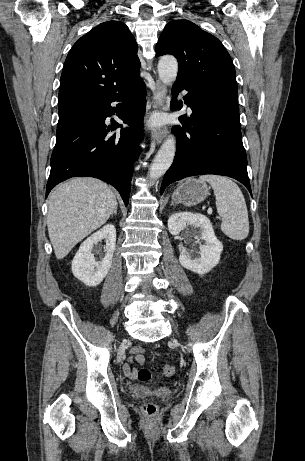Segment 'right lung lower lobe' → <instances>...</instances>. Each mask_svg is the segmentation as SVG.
I'll use <instances>...</instances> for the list:
<instances>
[{
  "label": "right lung lower lobe",
  "instance_id": "98d812e1",
  "mask_svg": "<svg viewBox=\"0 0 305 461\" xmlns=\"http://www.w3.org/2000/svg\"><path fill=\"white\" fill-rule=\"evenodd\" d=\"M145 94L142 81L111 97L58 107L56 145L46 197L53 187L68 178L89 176L113 185L128 205L133 163L140 155L138 144L143 139ZM112 102H119L117 108L110 105ZM115 113L130 128L111 134L122 126L114 120L111 125L105 124V119Z\"/></svg>",
  "mask_w": 305,
  "mask_h": 461
}]
</instances>
